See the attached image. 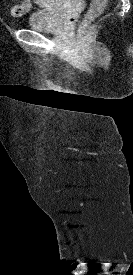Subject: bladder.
<instances>
[{"label": "bladder", "instance_id": "1", "mask_svg": "<svg viewBox=\"0 0 133 275\" xmlns=\"http://www.w3.org/2000/svg\"><path fill=\"white\" fill-rule=\"evenodd\" d=\"M63 2L64 0H50L52 5L34 10L27 18L26 27L42 32H58L64 21Z\"/></svg>", "mask_w": 133, "mask_h": 275}]
</instances>
